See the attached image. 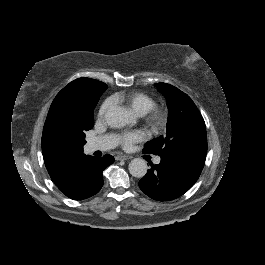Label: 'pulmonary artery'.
<instances>
[{"instance_id":"pulmonary-artery-1","label":"pulmonary artery","mask_w":265,"mask_h":265,"mask_svg":"<svg viewBox=\"0 0 265 265\" xmlns=\"http://www.w3.org/2000/svg\"><path fill=\"white\" fill-rule=\"evenodd\" d=\"M124 142V135L122 133H115L113 136L104 135L93 138L89 141V151H108L116 147L117 144ZM161 158L156 157L154 162L160 163Z\"/></svg>"}]
</instances>
